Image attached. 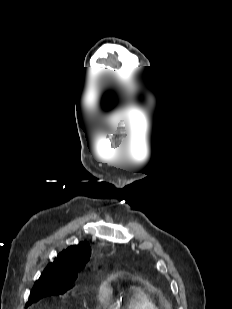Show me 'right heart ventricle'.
I'll return each instance as SVG.
<instances>
[{
	"label": "right heart ventricle",
	"mask_w": 232,
	"mask_h": 309,
	"mask_svg": "<svg viewBox=\"0 0 232 309\" xmlns=\"http://www.w3.org/2000/svg\"><path fill=\"white\" fill-rule=\"evenodd\" d=\"M128 309H158L155 303L150 299L148 294L138 287H132L128 291ZM105 309H117V305L106 301Z\"/></svg>",
	"instance_id": "1"
}]
</instances>
